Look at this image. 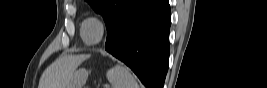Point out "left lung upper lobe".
Instances as JSON below:
<instances>
[{
    "mask_svg": "<svg viewBox=\"0 0 267 88\" xmlns=\"http://www.w3.org/2000/svg\"><path fill=\"white\" fill-rule=\"evenodd\" d=\"M95 12L100 13L109 30L121 13L135 0H86Z\"/></svg>",
    "mask_w": 267,
    "mask_h": 88,
    "instance_id": "5c2ea615",
    "label": "left lung upper lobe"
}]
</instances>
